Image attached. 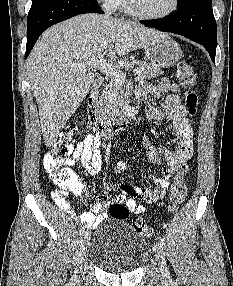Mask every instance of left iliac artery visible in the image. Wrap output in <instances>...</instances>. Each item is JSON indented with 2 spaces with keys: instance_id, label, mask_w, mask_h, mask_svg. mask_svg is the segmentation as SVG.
<instances>
[{
  "instance_id": "left-iliac-artery-1",
  "label": "left iliac artery",
  "mask_w": 233,
  "mask_h": 286,
  "mask_svg": "<svg viewBox=\"0 0 233 286\" xmlns=\"http://www.w3.org/2000/svg\"><path fill=\"white\" fill-rule=\"evenodd\" d=\"M159 244L161 245L162 248H165V241L164 238L161 236H158Z\"/></svg>"
}]
</instances>
